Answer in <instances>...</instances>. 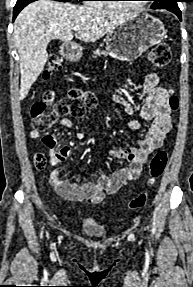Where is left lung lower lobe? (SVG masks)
<instances>
[{
    "label": "left lung lower lobe",
    "instance_id": "1",
    "mask_svg": "<svg viewBox=\"0 0 193 287\" xmlns=\"http://www.w3.org/2000/svg\"><path fill=\"white\" fill-rule=\"evenodd\" d=\"M165 9L168 10V11L173 12L175 15H177V17H178L180 20H182L181 11H180V9H179L178 6H176V7H169V8H165Z\"/></svg>",
    "mask_w": 193,
    "mask_h": 287
}]
</instances>
